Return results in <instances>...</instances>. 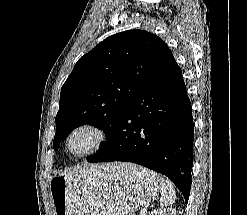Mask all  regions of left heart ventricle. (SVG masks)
Listing matches in <instances>:
<instances>
[{
	"instance_id": "b2bd125f",
	"label": "left heart ventricle",
	"mask_w": 247,
	"mask_h": 215,
	"mask_svg": "<svg viewBox=\"0 0 247 215\" xmlns=\"http://www.w3.org/2000/svg\"><path fill=\"white\" fill-rule=\"evenodd\" d=\"M92 136L88 132L78 133L71 142V149L74 153H81L85 151L91 144Z\"/></svg>"
}]
</instances>
